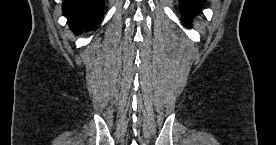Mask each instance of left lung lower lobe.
I'll return each mask as SVG.
<instances>
[{"instance_id": "left-lung-lower-lobe-1", "label": "left lung lower lobe", "mask_w": 276, "mask_h": 145, "mask_svg": "<svg viewBox=\"0 0 276 145\" xmlns=\"http://www.w3.org/2000/svg\"><path fill=\"white\" fill-rule=\"evenodd\" d=\"M181 9L184 14L183 22L186 26H190L189 22L191 17L196 13L200 12V5L202 3L201 0H180Z\"/></svg>"}]
</instances>
